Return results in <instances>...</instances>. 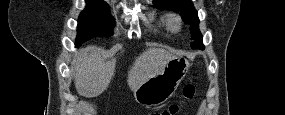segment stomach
Returning <instances> with one entry per match:
<instances>
[{
  "mask_svg": "<svg viewBox=\"0 0 285 115\" xmlns=\"http://www.w3.org/2000/svg\"><path fill=\"white\" fill-rule=\"evenodd\" d=\"M189 68V61L178 56L166 64L161 73L149 78L134 91L137 103L146 107L159 106L176 91Z\"/></svg>",
  "mask_w": 285,
  "mask_h": 115,
  "instance_id": "0dacf381",
  "label": "stomach"
}]
</instances>
